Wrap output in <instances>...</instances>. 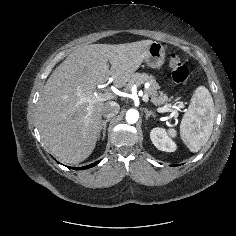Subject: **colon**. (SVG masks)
<instances>
[{"instance_id":"obj_1","label":"colon","mask_w":236,"mask_h":236,"mask_svg":"<svg viewBox=\"0 0 236 236\" xmlns=\"http://www.w3.org/2000/svg\"><path fill=\"white\" fill-rule=\"evenodd\" d=\"M172 71V79L175 83L185 86L189 80V69L184 65L182 58L177 53H171L168 58Z\"/></svg>"}]
</instances>
